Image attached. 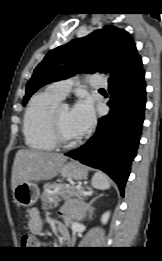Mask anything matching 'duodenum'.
<instances>
[{"label": "duodenum", "mask_w": 162, "mask_h": 261, "mask_svg": "<svg viewBox=\"0 0 162 261\" xmlns=\"http://www.w3.org/2000/svg\"><path fill=\"white\" fill-rule=\"evenodd\" d=\"M60 236L61 237H67L68 236V230L65 227H60Z\"/></svg>", "instance_id": "410a0bca"}]
</instances>
